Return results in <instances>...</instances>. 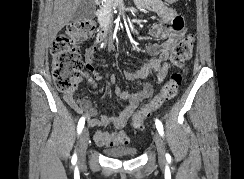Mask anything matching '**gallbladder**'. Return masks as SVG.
<instances>
[{"label": "gallbladder", "mask_w": 244, "mask_h": 179, "mask_svg": "<svg viewBox=\"0 0 244 179\" xmlns=\"http://www.w3.org/2000/svg\"><path fill=\"white\" fill-rule=\"evenodd\" d=\"M96 4L95 0H81L75 14H73V22H84V20H92L95 16Z\"/></svg>", "instance_id": "gallbladder-1"}]
</instances>
